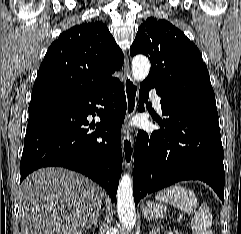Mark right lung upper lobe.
<instances>
[{
  "label": "right lung upper lobe",
  "instance_id": "1",
  "mask_svg": "<svg viewBox=\"0 0 241 234\" xmlns=\"http://www.w3.org/2000/svg\"><path fill=\"white\" fill-rule=\"evenodd\" d=\"M124 56L100 21L82 23L61 33L38 71L29 104H62L87 97L115 78Z\"/></svg>",
  "mask_w": 241,
  "mask_h": 234
}]
</instances>
